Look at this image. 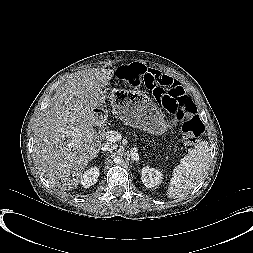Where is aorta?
Segmentation results:
<instances>
[{"mask_svg": "<svg viewBox=\"0 0 253 253\" xmlns=\"http://www.w3.org/2000/svg\"><path fill=\"white\" fill-rule=\"evenodd\" d=\"M123 157L121 155H117L115 158H114V163L119 165V164H122L123 163Z\"/></svg>", "mask_w": 253, "mask_h": 253, "instance_id": "obj_1", "label": "aorta"}]
</instances>
